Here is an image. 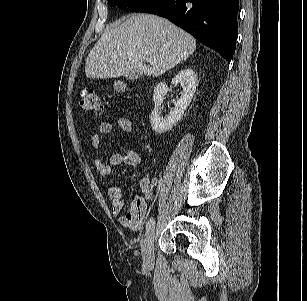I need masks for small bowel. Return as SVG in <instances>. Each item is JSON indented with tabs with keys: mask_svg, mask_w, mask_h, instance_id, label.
Returning a JSON list of instances; mask_svg holds the SVG:
<instances>
[{
	"mask_svg": "<svg viewBox=\"0 0 307 301\" xmlns=\"http://www.w3.org/2000/svg\"><path fill=\"white\" fill-rule=\"evenodd\" d=\"M118 128L123 132H131L133 130V122L129 116H121L117 120ZM113 126L109 122H100L98 131L90 137L91 145L94 149L99 150L102 147V135L111 133ZM142 162L140 153L136 150H126L114 153L110 156L108 162L101 160L99 156L95 157V167L97 171L104 177L111 174L112 167L125 164L129 167H136ZM157 179L149 173L143 175L139 182L140 194L133 197L129 209L123 212L125 201L122 189L119 186H111L108 191V198L111 201L112 212L117 217L119 223L132 231H139L146 220V209L148 202L153 199V189L156 186Z\"/></svg>",
	"mask_w": 307,
	"mask_h": 301,
	"instance_id": "small-bowel-1",
	"label": "small bowel"
}]
</instances>
